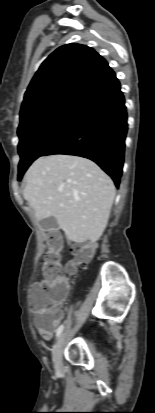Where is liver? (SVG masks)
Instances as JSON below:
<instances>
[{"label": "liver", "instance_id": "liver-1", "mask_svg": "<svg viewBox=\"0 0 155 413\" xmlns=\"http://www.w3.org/2000/svg\"><path fill=\"white\" fill-rule=\"evenodd\" d=\"M25 179L23 196L37 220L54 217L68 239L76 243H94L103 234L115 186L94 162L65 154L40 157Z\"/></svg>", "mask_w": 155, "mask_h": 413}]
</instances>
